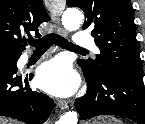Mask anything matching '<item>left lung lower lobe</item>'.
<instances>
[{"label":"left lung lower lobe","instance_id":"1","mask_svg":"<svg viewBox=\"0 0 145 124\" xmlns=\"http://www.w3.org/2000/svg\"><path fill=\"white\" fill-rule=\"evenodd\" d=\"M88 83L87 93L76 99L81 119L99 115H116L145 124V88L142 75L112 68L94 76L79 64Z\"/></svg>","mask_w":145,"mask_h":124}]
</instances>
